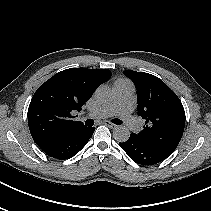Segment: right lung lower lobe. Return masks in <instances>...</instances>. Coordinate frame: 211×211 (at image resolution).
Instances as JSON below:
<instances>
[{"label":"right lung lower lobe","instance_id":"98d812e1","mask_svg":"<svg viewBox=\"0 0 211 211\" xmlns=\"http://www.w3.org/2000/svg\"><path fill=\"white\" fill-rule=\"evenodd\" d=\"M94 130V127H84L66 133L42 150L51 158L69 159L87 144Z\"/></svg>","mask_w":211,"mask_h":211}]
</instances>
